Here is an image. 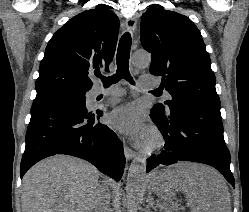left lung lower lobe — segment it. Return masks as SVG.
I'll return each instance as SVG.
<instances>
[{
	"label": "left lung lower lobe",
	"instance_id": "0a47b994",
	"mask_svg": "<svg viewBox=\"0 0 249 212\" xmlns=\"http://www.w3.org/2000/svg\"><path fill=\"white\" fill-rule=\"evenodd\" d=\"M150 116L164 136L165 144L161 153L148 159L146 172L177 161L199 162L216 168L235 186L220 108L182 102L162 111L154 105Z\"/></svg>",
	"mask_w": 249,
	"mask_h": 212
}]
</instances>
